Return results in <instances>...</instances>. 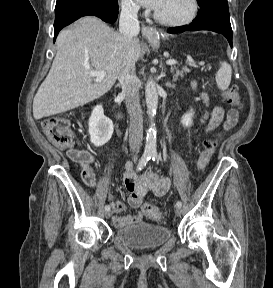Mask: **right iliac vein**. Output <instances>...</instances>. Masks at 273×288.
Masks as SVG:
<instances>
[{
  "label": "right iliac vein",
  "mask_w": 273,
  "mask_h": 288,
  "mask_svg": "<svg viewBox=\"0 0 273 288\" xmlns=\"http://www.w3.org/2000/svg\"><path fill=\"white\" fill-rule=\"evenodd\" d=\"M111 217V212L110 211H106L105 212V218L109 219Z\"/></svg>",
  "instance_id": "right-iliac-vein-1"
}]
</instances>
